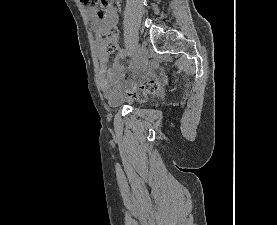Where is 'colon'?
<instances>
[{
  "mask_svg": "<svg viewBox=\"0 0 277 225\" xmlns=\"http://www.w3.org/2000/svg\"><path fill=\"white\" fill-rule=\"evenodd\" d=\"M82 5L96 11L97 16L104 18L108 14V0H80ZM117 41L110 37L105 44V50L108 53H113L117 49ZM158 89L156 80H147L145 83L134 86L127 91V97L131 101L143 100L147 95L154 93Z\"/></svg>",
  "mask_w": 277,
  "mask_h": 225,
  "instance_id": "5ec220e1",
  "label": "colon"
}]
</instances>
